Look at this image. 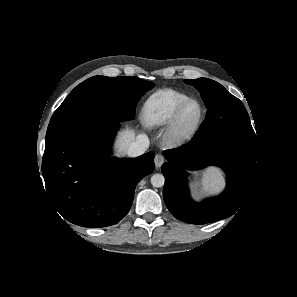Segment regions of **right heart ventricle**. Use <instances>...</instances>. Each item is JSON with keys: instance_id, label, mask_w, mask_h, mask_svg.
<instances>
[{"instance_id": "obj_1", "label": "right heart ventricle", "mask_w": 297, "mask_h": 297, "mask_svg": "<svg viewBox=\"0 0 297 297\" xmlns=\"http://www.w3.org/2000/svg\"><path fill=\"white\" fill-rule=\"evenodd\" d=\"M189 98L188 95L176 90H160L144 103L142 120L151 127L164 126L169 123L176 109Z\"/></svg>"}]
</instances>
